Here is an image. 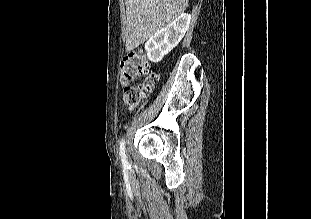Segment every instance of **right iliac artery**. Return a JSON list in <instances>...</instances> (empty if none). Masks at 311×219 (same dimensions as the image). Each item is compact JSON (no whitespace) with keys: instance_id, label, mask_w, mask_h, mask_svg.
<instances>
[{"instance_id":"82829eb1","label":"right iliac artery","mask_w":311,"mask_h":219,"mask_svg":"<svg viewBox=\"0 0 311 219\" xmlns=\"http://www.w3.org/2000/svg\"><path fill=\"white\" fill-rule=\"evenodd\" d=\"M119 154H120L123 166L124 167H128L129 163H128V160H127V157H126V154H125V141H124V139L120 143V152H119Z\"/></svg>"}]
</instances>
